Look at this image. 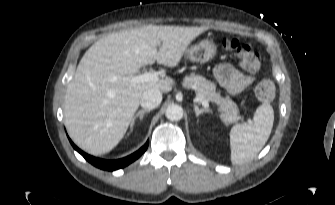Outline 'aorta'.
Here are the masks:
<instances>
[{
	"label": "aorta",
	"mask_w": 335,
	"mask_h": 205,
	"mask_svg": "<svg viewBox=\"0 0 335 205\" xmlns=\"http://www.w3.org/2000/svg\"><path fill=\"white\" fill-rule=\"evenodd\" d=\"M165 114L170 121H179L183 117V109L177 104H172L167 107Z\"/></svg>",
	"instance_id": "obj_1"
}]
</instances>
